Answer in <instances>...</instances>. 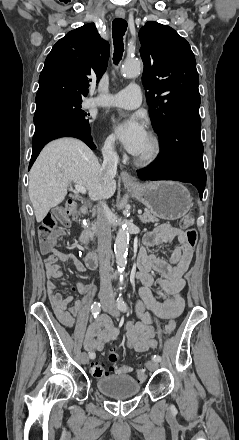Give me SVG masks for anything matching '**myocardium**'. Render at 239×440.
I'll list each match as a JSON object with an SVG mask.
<instances>
[{
	"instance_id": "obj_1",
	"label": "myocardium",
	"mask_w": 239,
	"mask_h": 440,
	"mask_svg": "<svg viewBox=\"0 0 239 440\" xmlns=\"http://www.w3.org/2000/svg\"><path fill=\"white\" fill-rule=\"evenodd\" d=\"M148 137L151 143L150 151L147 154L136 155L134 157L136 164L142 167H149L157 163L163 152L160 138L153 132L149 133Z\"/></svg>"
}]
</instances>
